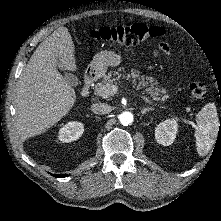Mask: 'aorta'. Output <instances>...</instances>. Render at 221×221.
I'll return each mask as SVG.
<instances>
[{
  "instance_id": "762f6f07",
  "label": "aorta",
  "mask_w": 221,
  "mask_h": 221,
  "mask_svg": "<svg viewBox=\"0 0 221 221\" xmlns=\"http://www.w3.org/2000/svg\"><path fill=\"white\" fill-rule=\"evenodd\" d=\"M119 120L122 125L127 126L133 122V114L130 112H123L119 115Z\"/></svg>"
}]
</instances>
